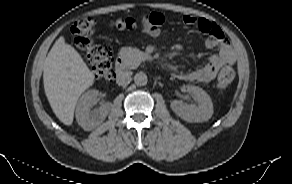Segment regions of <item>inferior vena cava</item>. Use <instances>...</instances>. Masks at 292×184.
Here are the masks:
<instances>
[{
  "label": "inferior vena cava",
  "instance_id": "obj_1",
  "mask_svg": "<svg viewBox=\"0 0 292 184\" xmlns=\"http://www.w3.org/2000/svg\"><path fill=\"white\" fill-rule=\"evenodd\" d=\"M131 75H132L131 71H122V70L117 71L116 83L118 85H123V84L127 83L129 81Z\"/></svg>",
  "mask_w": 292,
  "mask_h": 184
}]
</instances>
